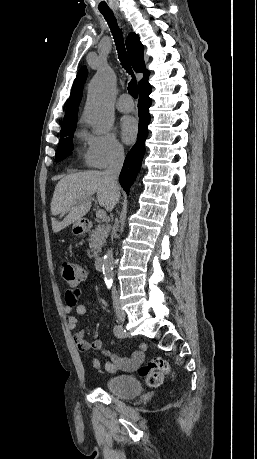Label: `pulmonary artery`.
Segmentation results:
<instances>
[{
  "instance_id": "obj_1",
  "label": "pulmonary artery",
  "mask_w": 257,
  "mask_h": 459,
  "mask_svg": "<svg viewBox=\"0 0 257 459\" xmlns=\"http://www.w3.org/2000/svg\"><path fill=\"white\" fill-rule=\"evenodd\" d=\"M116 108L120 112H130L134 108V103L128 94H123L116 102Z\"/></svg>"
}]
</instances>
